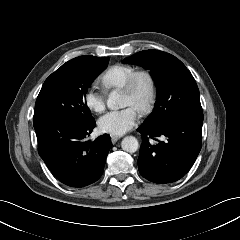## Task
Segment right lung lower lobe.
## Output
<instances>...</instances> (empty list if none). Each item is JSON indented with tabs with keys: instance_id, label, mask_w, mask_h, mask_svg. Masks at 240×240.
Returning a JSON list of instances; mask_svg holds the SVG:
<instances>
[{
	"instance_id": "obj_1",
	"label": "right lung lower lobe",
	"mask_w": 240,
	"mask_h": 240,
	"mask_svg": "<svg viewBox=\"0 0 240 240\" xmlns=\"http://www.w3.org/2000/svg\"><path fill=\"white\" fill-rule=\"evenodd\" d=\"M95 125V120L81 124L51 118L34 120L38 153L63 184L82 188L101 177L112 143L107 134L94 141L87 139Z\"/></svg>"
}]
</instances>
